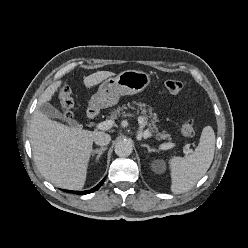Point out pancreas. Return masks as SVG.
Masks as SVG:
<instances>
[{"label":"pancreas","mask_w":248,"mask_h":248,"mask_svg":"<svg viewBox=\"0 0 248 248\" xmlns=\"http://www.w3.org/2000/svg\"><path fill=\"white\" fill-rule=\"evenodd\" d=\"M136 105L138 106V108L141 110V125L142 127H145L146 125H148V131L150 132V135L155 134L156 139L158 140H165V139H169L170 135L167 134L165 131L159 132L156 122H158L157 119V115L156 113L152 112V108L146 109V105L144 103H136ZM127 108H134L132 107L129 103L127 105H122L121 107H118L117 109H114L111 112L110 118L112 119H116L118 116H120V114L125 116V112L124 110H126ZM137 113H139V111H137ZM148 113V114H147Z\"/></svg>","instance_id":"obj_1"}]
</instances>
